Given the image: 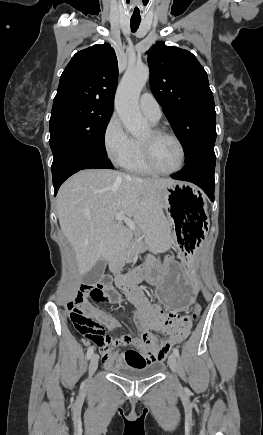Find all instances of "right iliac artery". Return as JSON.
Listing matches in <instances>:
<instances>
[{
	"label": "right iliac artery",
	"mask_w": 263,
	"mask_h": 435,
	"mask_svg": "<svg viewBox=\"0 0 263 435\" xmlns=\"http://www.w3.org/2000/svg\"><path fill=\"white\" fill-rule=\"evenodd\" d=\"M93 351H94L93 346L89 347V349L87 351V359H90L92 357Z\"/></svg>",
	"instance_id": "right-iliac-artery-1"
}]
</instances>
